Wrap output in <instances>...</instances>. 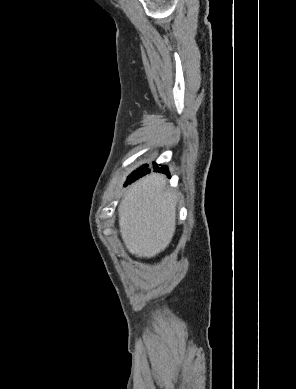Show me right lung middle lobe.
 Returning a JSON list of instances; mask_svg holds the SVG:
<instances>
[{"label":"right lung middle lobe","instance_id":"1","mask_svg":"<svg viewBox=\"0 0 296 389\" xmlns=\"http://www.w3.org/2000/svg\"><path fill=\"white\" fill-rule=\"evenodd\" d=\"M145 167H147V165H144L143 167H141V168H145Z\"/></svg>","mask_w":296,"mask_h":389}]
</instances>
